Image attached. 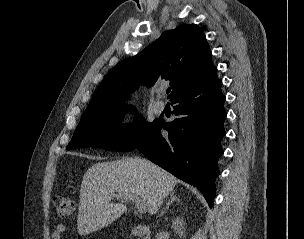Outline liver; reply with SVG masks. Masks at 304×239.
<instances>
[{
	"mask_svg": "<svg viewBox=\"0 0 304 239\" xmlns=\"http://www.w3.org/2000/svg\"><path fill=\"white\" fill-rule=\"evenodd\" d=\"M176 184V177L144 158L98 162L83 176L78 233L98 231L126 212L123 203L110 202L111 195L131 193L145 202L150 214H155Z\"/></svg>",
	"mask_w": 304,
	"mask_h": 239,
	"instance_id": "obj_1",
	"label": "liver"
}]
</instances>
